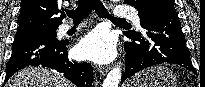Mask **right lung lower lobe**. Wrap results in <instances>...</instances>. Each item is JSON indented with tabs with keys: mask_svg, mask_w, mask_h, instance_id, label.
Masks as SVG:
<instances>
[{
	"mask_svg": "<svg viewBox=\"0 0 205 87\" xmlns=\"http://www.w3.org/2000/svg\"><path fill=\"white\" fill-rule=\"evenodd\" d=\"M56 34L34 32L16 36L11 58L6 65L5 83L15 72L31 65L49 67L61 72L77 87H91L92 66L89 63L69 60L68 41H59Z\"/></svg>",
	"mask_w": 205,
	"mask_h": 87,
	"instance_id": "obj_1",
	"label": "right lung lower lobe"
}]
</instances>
